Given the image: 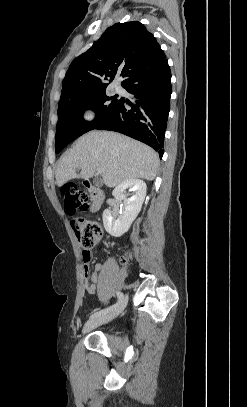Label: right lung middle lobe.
I'll list each match as a JSON object with an SVG mask.
<instances>
[{"label": "right lung middle lobe", "mask_w": 247, "mask_h": 407, "mask_svg": "<svg viewBox=\"0 0 247 407\" xmlns=\"http://www.w3.org/2000/svg\"><path fill=\"white\" fill-rule=\"evenodd\" d=\"M120 100L117 99V96H106L105 90H103L91 96L59 105L55 136L56 153H59L77 137L93 130L117 107ZM86 109H93L96 113V118L92 122L83 119V112Z\"/></svg>", "instance_id": "dd1d6c3e"}]
</instances>
